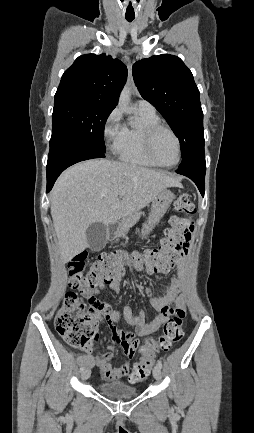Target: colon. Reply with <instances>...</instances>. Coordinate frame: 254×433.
Returning a JSON list of instances; mask_svg holds the SVG:
<instances>
[{
    "mask_svg": "<svg viewBox=\"0 0 254 433\" xmlns=\"http://www.w3.org/2000/svg\"><path fill=\"white\" fill-rule=\"evenodd\" d=\"M175 210L191 217L196 208L189 195H180L174 204ZM170 227L159 247L133 255L137 266H145L147 271L157 272L169 261L188 254L193 224L185 218L173 216L169 220ZM85 254H79L68 265L70 285L81 292L93 291L97 287L110 283L115 277L124 273L121 264V253L113 252L98 256L86 269ZM99 301L91 298L88 302L80 299L75 292L67 293L62 306L55 316V329L70 346L90 350L96 342L99 327L97 306ZM183 309H175L165 322L161 334L157 338L148 337L139 349L142 356L135 363L132 381L144 380L154 366L155 354L169 351L184 335Z\"/></svg>",
    "mask_w": 254,
    "mask_h": 433,
    "instance_id": "colon-1",
    "label": "colon"
}]
</instances>
